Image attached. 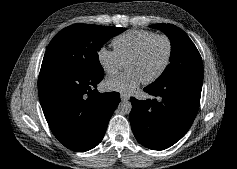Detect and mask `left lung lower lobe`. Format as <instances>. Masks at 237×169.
Segmentation results:
<instances>
[{"label": "left lung lower lobe", "mask_w": 237, "mask_h": 169, "mask_svg": "<svg viewBox=\"0 0 237 169\" xmlns=\"http://www.w3.org/2000/svg\"><path fill=\"white\" fill-rule=\"evenodd\" d=\"M203 74H195L144 88L160 99L131 98L130 123L137 141L153 150H164L180 140L198 112Z\"/></svg>", "instance_id": "obj_1"}]
</instances>
